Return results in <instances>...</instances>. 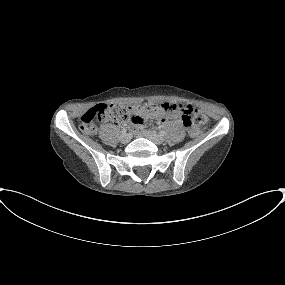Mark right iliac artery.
I'll list each match as a JSON object with an SVG mask.
<instances>
[{
    "label": "right iliac artery",
    "instance_id": "1",
    "mask_svg": "<svg viewBox=\"0 0 285 285\" xmlns=\"http://www.w3.org/2000/svg\"><path fill=\"white\" fill-rule=\"evenodd\" d=\"M126 132H127V128L124 127V128L121 130V133H122V135H124V134H126Z\"/></svg>",
    "mask_w": 285,
    "mask_h": 285
}]
</instances>
